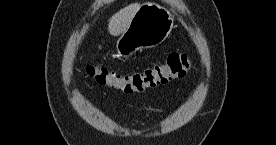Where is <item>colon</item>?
Masks as SVG:
<instances>
[{
    "mask_svg": "<svg viewBox=\"0 0 276 145\" xmlns=\"http://www.w3.org/2000/svg\"><path fill=\"white\" fill-rule=\"evenodd\" d=\"M191 57L173 52L162 64L146 67L130 73H120L95 63L86 65V73L100 85L116 89L124 94L142 93L184 76L191 68Z\"/></svg>",
    "mask_w": 276,
    "mask_h": 145,
    "instance_id": "1",
    "label": "colon"
}]
</instances>
